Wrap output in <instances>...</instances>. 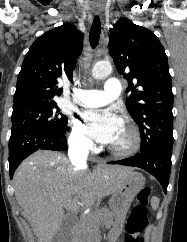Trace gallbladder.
I'll list each match as a JSON object with an SVG mask.
<instances>
[{"mask_svg": "<svg viewBox=\"0 0 187 242\" xmlns=\"http://www.w3.org/2000/svg\"><path fill=\"white\" fill-rule=\"evenodd\" d=\"M74 223V215L72 213H66L60 229L56 233L52 242H70L71 234L70 229Z\"/></svg>", "mask_w": 187, "mask_h": 242, "instance_id": "gallbladder-1", "label": "gallbladder"}]
</instances>
